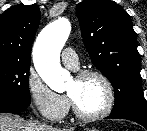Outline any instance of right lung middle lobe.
<instances>
[{
	"instance_id": "1",
	"label": "right lung middle lobe",
	"mask_w": 147,
	"mask_h": 131,
	"mask_svg": "<svg viewBox=\"0 0 147 131\" xmlns=\"http://www.w3.org/2000/svg\"><path fill=\"white\" fill-rule=\"evenodd\" d=\"M30 64L0 61V100L30 105Z\"/></svg>"
}]
</instances>
